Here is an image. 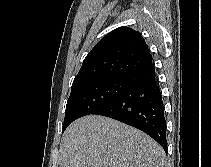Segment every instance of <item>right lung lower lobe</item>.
Here are the masks:
<instances>
[{
	"instance_id": "obj_1",
	"label": "right lung lower lobe",
	"mask_w": 211,
	"mask_h": 167,
	"mask_svg": "<svg viewBox=\"0 0 211 167\" xmlns=\"http://www.w3.org/2000/svg\"><path fill=\"white\" fill-rule=\"evenodd\" d=\"M130 85L93 114L133 126L157 141L167 152L164 104L153 64L128 77Z\"/></svg>"
}]
</instances>
